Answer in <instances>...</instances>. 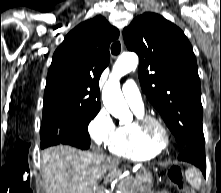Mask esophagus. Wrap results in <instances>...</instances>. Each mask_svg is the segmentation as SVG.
<instances>
[{"instance_id":"1","label":"esophagus","mask_w":221,"mask_h":193,"mask_svg":"<svg viewBox=\"0 0 221 193\" xmlns=\"http://www.w3.org/2000/svg\"><path fill=\"white\" fill-rule=\"evenodd\" d=\"M119 41H120L121 44H123V36H122V32H120Z\"/></svg>"}]
</instances>
